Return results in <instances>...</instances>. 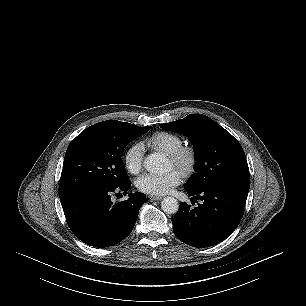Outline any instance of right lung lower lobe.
<instances>
[{
	"mask_svg": "<svg viewBox=\"0 0 306 306\" xmlns=\"http://www.w3.org/2000/svg\"><path fill=\"white\" fill-rule=\"evenodd\" d=\"M130 181L119 186H94L60 198L71 231L84 243L98 248L114 246L132 231L139 209L146 202L143 193H130L125 201L113 203L111 195L127 194Z\"/></svg>",
	"mask_w": 306,
	"mask_h": 306,
	"instance_id": "1",
	"label": "right lung lower lobe"
}]
</instances>
